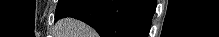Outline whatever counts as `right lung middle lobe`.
<instances>
[{"mask_svg":"<svg viewBox=\"0 0 219 37\" xmlns=\"http://www.w3.org/2000/svg\"><path fill=\"white\" fill-rule=\"evenodd\" d=\"M73 0H59L58 4H57V8H56V12H55V16L65 7L67 6L69 3H71Z\"/></svg>","mask_w":219,"mask_h":37,"instance_id":"obj_1","label":"right lung middle lobe"}]
</instances>
